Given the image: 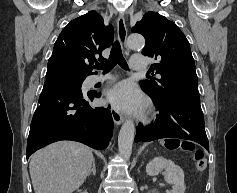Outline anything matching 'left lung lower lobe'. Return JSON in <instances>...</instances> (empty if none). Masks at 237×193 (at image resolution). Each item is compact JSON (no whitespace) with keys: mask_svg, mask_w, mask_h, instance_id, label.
Instances as JSON below:
<instances>
[{"mask_svg":"<svg viewBox=\"0 0 237 193\" xmlns=\"http://www.w3.org/2000/svg\"><path fill=\"white\" fill-rule=\"evenodd\" d=\"M152 100L160 114L149 126L138 125L135 142L181 138L197 142L209 150L200 99Z\"/></svg>","mask_w":237,"mask_h":193,"instance_id":"obj_1","label":"left lung lower lobe"}]
</instances>
